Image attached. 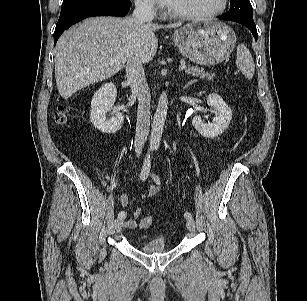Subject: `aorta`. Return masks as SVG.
<instances>
[{
    "instance_id": "aorta-1",
    "label": "aorta",
    "mask_w": 307,
    "mask_h": 301,
    "mask_svg": "<svg viewBox=\"0 0 307 301\" xmlns=\"http://www.w3.org/2000/svg\"><path fill=\"white\" fill-rule=\"evenodd\" d=\"M167 109H168V97L167 93L163 92L159 97L153 118L151 135H150L151 148H158L160 145L167 116Z\"/></svg>"
}]
</instances>
